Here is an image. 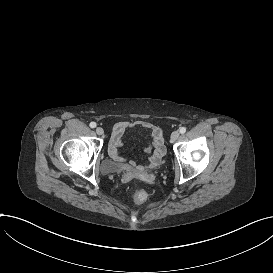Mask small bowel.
<instances>
[{"label": "small bowel", "instance_id": "small-bowel-1", "mask_svg": "<svg viewBox=\"0 0 273 273\" xmlns=\"http://www.w3.org/2000/svg\"><path fill=\"white\" fill-rule=\"evenodd\" d=\"M141 127L154 131L156 135V140L149 146V160L147 164H137L133 161L125 162V159L120 153V148L123 145V135L124 133L132 128L134 125L127 121L117 122L112 130L108 152L110 157L127 171L141 172L146 167L156 168L161 163V158L167 156V151L164 149L163 142L165 141L164 129L161 126H156L153 128L152 124L148 122H139Z\"/></svg>", "mask_w": 273, "mask_h": 273}]
</instances>
